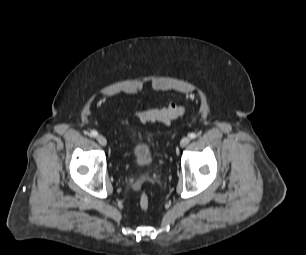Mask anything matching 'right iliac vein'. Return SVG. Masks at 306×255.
Masks as SVG:
<instances>
[{
    "label": "right iliac vein",
    "instance_id": "1",
    "mask_svg": "<svg viewBox=\"0 0 306 255\" xmlns=\"http://www.w3.org/2000/svg\"><path fill=\"white\" fill-rule=\"evenodd\" d=\"M97 142L100 144V145H102V146H106L107 145V140H106V138L104 137V136H102V135H99V136H97Z\"/></svg>",
    "mask_w": 306,
    "mask_h": 255
}]
</instances>
